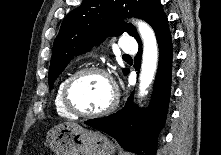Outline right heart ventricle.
<instances>
[{
    "label": "right heart ventricle",
    "mask_w": 221,
    "mask_h": 155,
    "mask_svg": "<svg viewBox=\"0 0 221 155\" xmlns=\"http://www.w3.org/2000/svg\"><path fill=\"white\" fill-rule=\"evenodd\" d=\"M67 79H68V76L64 77L60 81V83L58 84L57 89H56V93H55V98H54V105H55L56 112L60 116L65 117V118H75L76 116L73 115L72 113H70L64 107V105L62 103V89H63V86H64Z\"/></svg>",
    "instance_id": "e07e8e85"
}]
</instances>
